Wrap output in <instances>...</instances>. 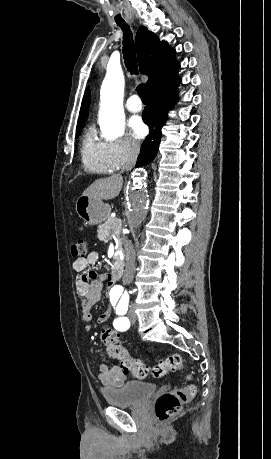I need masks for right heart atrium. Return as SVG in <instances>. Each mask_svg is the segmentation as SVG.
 I'll return each instance as SVG.
<instances>
[{
  "label": "right heart atrium",
  "mask_w": 271,
  "mask_h": 459,
  "mask_svg": "<svg viewBox=\"0 0 271 459\" xmlns=\"http://www.w3.org/2000/svg\"><path fill=\"white\" fill-rule=\"evenodd\" d=\"M141 145L130 135H125L110 143V154L117 167L137 160Z\"/></svg>",
  "instance_id": "obj_1"
}]
</instances>
